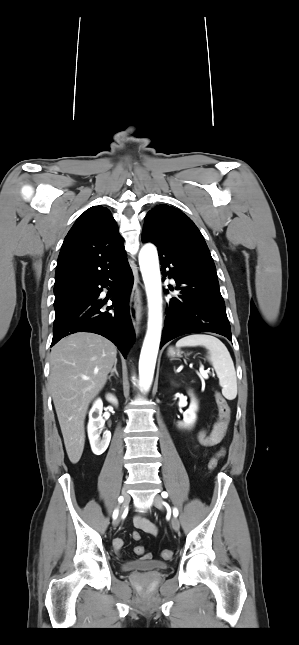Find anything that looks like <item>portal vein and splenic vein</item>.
<instances>
[{
    "mask_svg": "<svg viewBox=\"0 0 299 645\" xmlns=\"http://www.w3.org/2000/svg\"><path fill=\"white\" fill-rule=\"evenodd\" d=\"M200 373H201L202 375H207V372H206V371L204 370V368H202V367L200 368Z\"/></svg>",
    "mask_w": 299,
    "mask_h": 645,
    "instance_id": "1",
    "label": "portal vein and splenic vein"
}]
</instances>
